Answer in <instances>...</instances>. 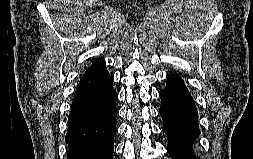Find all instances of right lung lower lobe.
<instances>
[{"label":"right lung lower lobe","instance_id":"1","mask_svg":"<svg viewBox=\"0 0 253 159\" xmlns=\"http://www.w3.org/2000/svg\"><path fill=\"white\" fill-rule=\"evenodd\" d=\"M105 65L80 79L68 118L67 159H113L117 93Z\"/></svg>","mask_w":253,"mask_h":159}]
</instances>
